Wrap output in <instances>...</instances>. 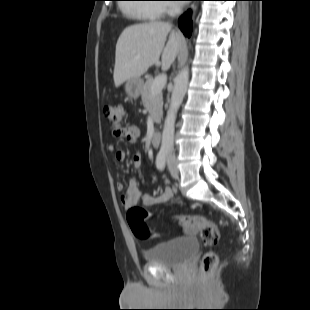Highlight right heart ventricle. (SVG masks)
I'll list each match as a JSON object with an SVG mask.
<instances>
[{
    "label": "right heart ventricle",
    "instance_id": "1",
    "mask_svg": "<svg viewBox=\"0 0 310 310\" xmlns=\"http://www.w3.org/2000/svg\"><path fill=\"white\" fill-rule=\"evenodd\" d=\"M159 7L160 5L155 4H137L127 7L126 11L142 21H152L161 16L162 10Z\"/></svg>",
    "mask_w": 310,
    "mask_h": 310
}]
</instances>
